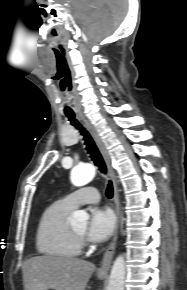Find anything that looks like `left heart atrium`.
Returning <instances> with one entry per match:
<instances>
[{
  "instance_id": "39dd6f15",
  "label": "left heart atrium",
  "mask_w": 187,
  "mask_h": 290,
  "mask_svg": "<svg viewBox=\"0 0 187 290\" xmlns=\"http://www.w3.org/2000/svg\"><path fill=\"white\" fill-rule=\"evenodd\" d=\"M116 219L109 209L94 208L90 213L87 237L93 242L107 240L115 229Z\"/></svg>"
}]
</instances>
